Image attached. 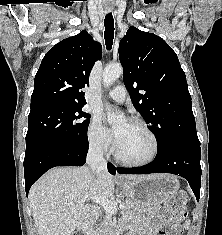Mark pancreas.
Segmentation results:
<instances>
[{"instance_id":"cf45deb5","label":"pancreas","mask_w":222,"mask_h":235,"mask_svg":"<svg viewBox=\"0 0 222 235\" xmlns=\"http://www.w3.org/2000/svg\"><path fill=\"white\" fill-rule=\"evenodd\" d=\"M123 204L125 206L123 210V214L128 220L136 217L140 213L147 212L150 209L154 208V206L150 208L136 207L129 200H126ZM111 227H112V215L109 213H106L102 221L96 226L94 235H108V232L111 230Z\"/></svg>"}]
</instances>
